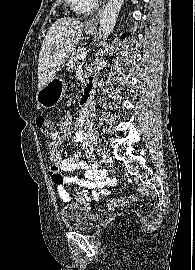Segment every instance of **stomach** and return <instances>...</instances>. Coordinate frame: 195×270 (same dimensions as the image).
Returning a JSON list of instances; mask_svg holds the SVG:
<instances>
[{
  "label": "stomach",
  "mask_w": 195,
  "mask_h": 270,
  "mask_svg": "<svg viewBox=\"0 0 195 270\" xmlns=\"http://www.w3.org/2000/svg\"><path fill=\"white\" fill-rule=\"evenodd\" d=\"M86 34H93L94 30H85ZM67 90L66 83L61 78H53L42 89L38 90L36 100L45 108L56 106L64 97Z\"/></svg>",
  "instance_id": "1"
}]
</instances>
